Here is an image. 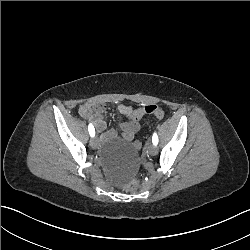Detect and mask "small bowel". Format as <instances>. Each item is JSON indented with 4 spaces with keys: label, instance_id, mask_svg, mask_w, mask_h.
I'll use <instances>...</instances> for the list:
<instances>
[{
    "label": "small bowel",
    "instance_id": "1",
    "mask_svg": "<svg viewBox=\"0 0 250 250\" xmlns=\"http://www.w3.org/2000/svg\"><path fill=\"white\" fill-rule=\"evenodd\" d=\"M117 110L121 116L126 117L128 119V121H120L119 126L122 138L124 140L130 141L133 139L134 135L139 131L140 123L132 122L130 120V113L134 110L131 107L126 105H120ZM105 111L106 106L104 103L101 102L84 103L79 107L80 115L83 118L90 120L99 133L104 132L106 129V121L104 119ZM114 137V131H108L105 134L106 140H112Z\"/></svg>",
    "mask_w": 250,
    "mask_h": 250
}]
</instances>
